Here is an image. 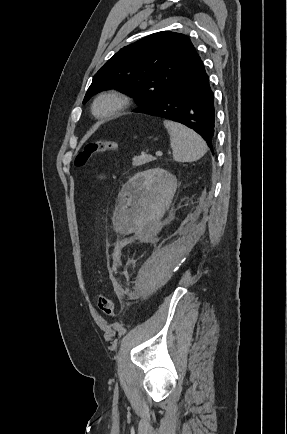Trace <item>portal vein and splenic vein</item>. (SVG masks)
<instances>
[{"label": "portal vein and splenic vein", "instance_id": "obj_1", "mask_svg": "<svg viewBox=\"0 0 287 434\" xmlns=\"http://www.w3.org/2000/svg\"><path fill=\"white\" fill-rule=\"evenodd\" d=\"M155 155H156V156H162V152H161V151H157V152L155 153Z\"/></svg>", "mask_w": 287, "mask_h": 434}]
</instances>
